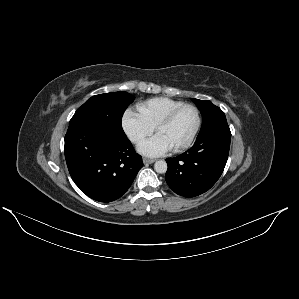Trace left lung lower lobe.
Segmentation results:
<instances>
[{
    "label": "left lung lower lobe",
    "instance_id": "left-lung-lower-lobe-1",
    "mask_svg": "<svg viewBox=\"0 0 299 299\" xmlns=\"http://www.w3.org/2000/svg\"><path fill=\"white\" fill-rule=\"evenodd\" d=\"M231 140L229 126H219L199 135L183 154L168 158L165 180L178 195L195 197L208 191L226 165Z\"/></svg>",
    "mask_w": 299,
    "mask_h": 299
}]
</instances>
